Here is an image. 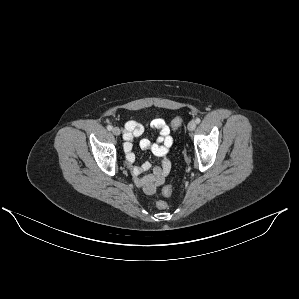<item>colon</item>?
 I'll return each mask as SVG.
<instances>
[{
	"instance_id": "obj_1",
	"label": "colon",
	"mask_w": 299,
	"mask_h": 299,
	"mask_svg": "<svg viewBox=\"0 0 299 299\" xmlns=\"http://www.w3.org/2000/svg\"><path fill=\"white\" fill-rule=\"evenodd\" d=\"M182 123V119L180 117H176L175 119L172 120L171 126L174 129H177ZM173 188L171 186H165L162 190V193L165 197H170L172 195ZM157 208L161 210H165L169 207L168 203L164 200H159L156 202Z\"/></svg>"
}]
</instances>
